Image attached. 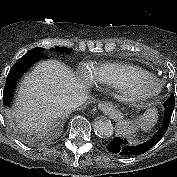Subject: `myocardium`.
<instances>
[{
  "label": "myocardium",
  "instance_id": "1",
  "mask_svg": "<svg viewBox=\"0 0 177 177\" xmlns=\"http://www.w3.org/2000/svg\"><path fill=\"white\" fill-rule=\"evenodd\" d=\"M135 78H140L143 80H147L149 82L154 83L155 87L152 90H144V89H136L132 87L131 81ZM121 95L124 100L132 103H139L151 98L156 97L162 91V83L158 78L151 74H143V75H127L123 81L121 86L119 87Z\"/></svg>",
  "mask_w": 177,
  "mask_h": 177
}]
</instances>
